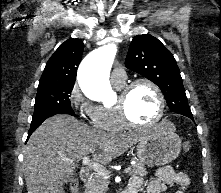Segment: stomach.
<instances>
[{
    "label": "stomach",
    "instance_id": "stomach-1",
    "mask_svg": "<svg viewBox=\"0 0 221 193\" xmlns=\"http://www.w3.org/2000/svg\"><path fill=\"white\" fill-rule=\"evenodd\" d=\"M181 150V139L169 122L156 125L137 145V157L148 166L165 165L177 158Z\"/></svg>",
    "mask_w": 221,
    "mask_h": 193
}]
</instances>
